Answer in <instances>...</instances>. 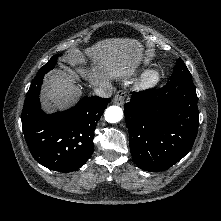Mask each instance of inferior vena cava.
<instances>
[{"label":"inferior vena cava","instance_id":"obj_1","mask_svg":"<svg viewBox=\"0 0 221 221\" xmlns=\"http://www.w3.org/2000/svg\"><path fill=\"white\" fill-rule=\"evenodd\" d=\"M111 89L112 85L110 83H106L103 86L96 87L94 89V93L101 97H108L110 96ZM107 90L108 92H106Z\"/></svg>","mask_w":221,"mask_h":221}]
</instances>
